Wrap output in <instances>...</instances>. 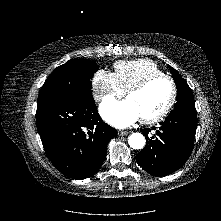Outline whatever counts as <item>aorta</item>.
I'll list each match as a JSON object with an SVG mask.
<instances>
[{"instance_id": "762f6f07", "label": "aorta", "mask_w": 221, "mask_h": 221, "mask_svg": "<svg viewBox=\"0 0 221 221\" xmlns=\"http://www.w3.org/2000/svg\"><path fill=\"white\" fill-rule=\"evenodd\" d=\"M129 146L133 149H142L145 146V137L141 133H132L128 138Z\"/></svg>"}]
</instances>
